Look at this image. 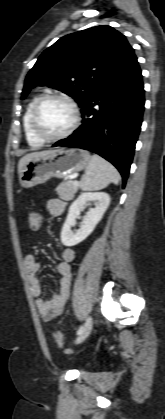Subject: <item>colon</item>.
Wrapping results in <instances>:
<instances>
[{
    "mask_svg": "<svg viewBox=\"0 0 165 419\" xmlns=\"http://www.w3.org/2000/svg\"><path fill=\"white\" fill-rule=\"evenodd\" d=\"M28 220H29V224H30L31 229L37 230L40 227L41 216L38 212H35V211L30 212L29 216H28ZM54 338H55V341H56L57 345L60 348L65 347L66 342H65L63 334L60 331H56L54 333Z\"/></svg>",
    "mask_w": 165,
    "mask_h": 419,
    "instance_id": "colon-1",
    "label": "colon"
}]
</instances>
